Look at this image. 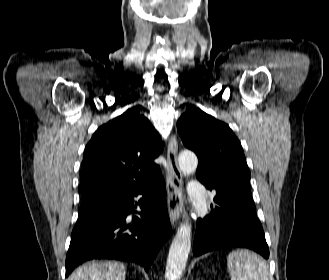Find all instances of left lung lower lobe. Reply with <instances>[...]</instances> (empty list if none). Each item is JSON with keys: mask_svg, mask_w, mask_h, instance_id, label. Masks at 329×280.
Segmentation results:
<instances>
[{"mask_svg": "<svg viewBox=\"0 0 329 280\" xmlns=\"http://www.w3.org/2000/svg\"><path fill=\"white\" fill-rule=\"evenodd\" d=\"M211 213L197 220L193 253L244 247L269 257V249L249 189H239L227 197H215Z\"/></svg>", "mask_w": 329, "mask_h": 280, "instance_id": "1", "label": "left lung lower lobe"}]
</instances>
